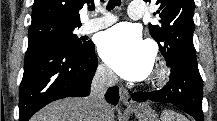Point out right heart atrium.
Here are the masks:
<instances>
[{
    "instance_id": "obj_1",
    "label": "right heart atrium",
    "mask_w": 217,
    "mask_h": 121,
    "mask_svg": "<svg viewBox=\"0 0 217 121\" xmlns=\"http://www.w3.org/2000/svg\"><path fill=\"white\" fill-rule=\"evenodd\" d=\"M97 74L101 79H104V80H109L112 78V74L103 64H100L98 66Z\"/></svg>"
}]
</instances>
